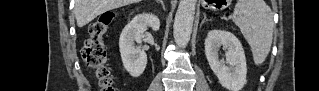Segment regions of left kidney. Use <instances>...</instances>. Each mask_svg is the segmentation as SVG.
<instances>
[{
    "instance_id": "1",
    "label": "left kidney",
    "mask_w": 319,
    "mask_h": 91,
    "mask_svg": "<svg viewBox=\"0 0 319 91\" xmlns=\"http://www.w3.org/2000/svg\"><path fill=\"white\" fill-rule=\"evenodd\" d=\"M221 47L225 50L226 61L219 59ZM205 54L210 68L224 88L240 91L244 87L246 58L242 44L234 34L225 30H210L205 39Z\"/></svg>"
}]
</instances>
